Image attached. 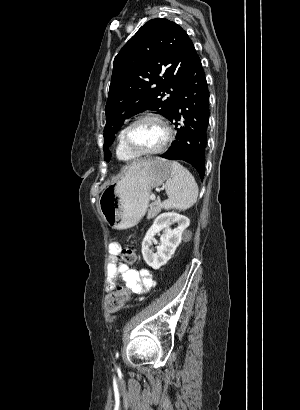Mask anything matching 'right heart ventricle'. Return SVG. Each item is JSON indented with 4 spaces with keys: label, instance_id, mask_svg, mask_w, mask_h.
<instances>
[{
    "label": "right heart ventricle",
    "instance_id": "1",
    "mask_svg": "<svg viewBox=\"0 0 300 410\" xmlns=\"http://www.w3.org/2000/svg\"><path fill=\"white\" fill-rule=\"evenodd\" d=\"M123 131H124V128L119 132L118 137H117L116 155L120 160L124 162H128V161H132L136 159L138 156L133 154L131 151H129L125 147L123 143Z\"/></svg>",
    "mask_w": 300,
    "mask_h": 410
}]
</instances>
